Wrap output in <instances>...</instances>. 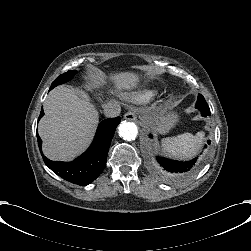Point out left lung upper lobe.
<instances>
[{"label": "left lung upper lobe", "mask_w": 251, "mask_h": 251, "mask_svg": "<svg viewBox=\"0 0 251 251\" xmlns=\"http://www.w3.org/2000/svg\"><path fill=\"white\" fill-rule=\"evenodd\" d=\"M196 108H200V109H207L209 110V107L204 99V97L201 94H198V99H197V103H196Z\"/></svg>", "instance_id": "5c2ea615"}]
</instances>
